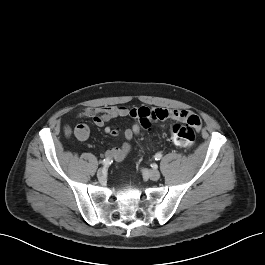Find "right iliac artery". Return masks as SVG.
Segmentation results:
<instances>
[{
    "mask_svg": "<svg viewBox=\"0 0 265 265\" xmlns=\"http://www.w3.org/2000/svg\"><path fill=\"white\" fill-rule=\"evenodd\" d=\"M112 162H113L112 159L106 158V159H104V160L102 161V164H103L104 167H107V166H109Z\"/></svg>",
    "mask_w": 265,
    "mask_h": 265,
    "instance_id": "1",
    "label": "right iliac artery"
}]
</instances>
